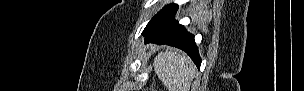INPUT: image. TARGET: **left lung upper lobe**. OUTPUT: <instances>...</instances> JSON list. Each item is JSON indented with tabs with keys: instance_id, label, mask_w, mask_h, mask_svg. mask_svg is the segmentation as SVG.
I'll return each mask as SVG.
<instances>
[{
	"instance_id": "left-lung-upper-lobe-1",
	"label": "left lung upper lobe",
	"mask_w": 304,
	"mask_h": 91,
	"mask_svg": "<svg viewBox=\"0 0 304 91\" xmlns=\"http://www.w3.org/2000/svg\"><path fill=\"white\" fill-rule=\"evenodd\" d=\"M162 10H163V9H162ZM162 10L159 11V12L150 20V22L147 24V26L145 27V29H144V31H143L142 34H144L146 31H148V30L151 28V26L155 23L156 19L158 18V16H159L160 13L162 12Z\"/></svg>"
}]
</instances>
